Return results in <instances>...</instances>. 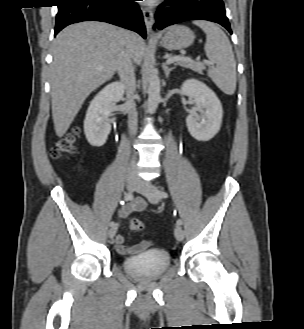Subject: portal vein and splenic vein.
I'll return each mask as SVG.
<instances>
[{
	"mask_svg": "<svg viewBox=\"0 0 304 329\" xmlns=\"http://www.w3.org/2000/svg\"><path fill=\"white\" fill-rule=\"evenodd\" d=\"M177 61H188V62H192L193 59L191 57H180V56H175V57H169L167 58V63L171 64Z\"/></svg>",
	"mask_w": 304,
	"mask_h": 329,
	"instance_id": "portal-vein-and-splenic-vein-1",
	"label": "portal vein and splenic vein"
}]
</instances>
